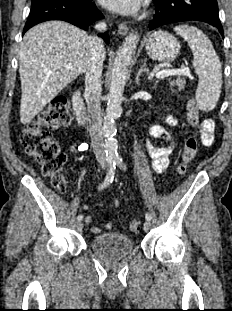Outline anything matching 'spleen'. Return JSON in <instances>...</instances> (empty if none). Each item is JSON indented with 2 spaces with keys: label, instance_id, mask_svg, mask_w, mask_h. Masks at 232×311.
Returning a JSON list of instances; mask_svg holds the SVG:
<instances>
[{
  "label": "spleen",
  "instance_id": "1",
  "mask_svg": "<svg viewBox=\"0 0 232 311\" xmlns=\"http://www.w3.org/2000/svg\"><path fill=\"white\" fill-rule=\"evenodd\" d=\"M174 31L187 41L193 53V66L199 77L195 99L198 107L205 112L216 106L221 93L222 71L209 38L197 27L180 25Z\"/></svg>",
  "mask_w": 232,
  "mask_h": 311
}]
</instances>
